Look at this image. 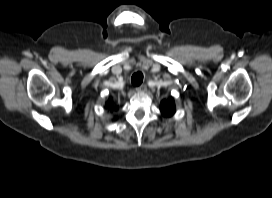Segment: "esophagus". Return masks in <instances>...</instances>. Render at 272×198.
<instances>
[{"instance_id":"obj_1","label":"esophagus","mask_w":272,"mask_h":198,"mask_svg":"<svg viewBox=\"0 0 272 198\" xmlns=\"http://www.w3.org/2000/svg\"><path fill=\"white\" fill-rule=\"evenodd\" d=\"M136 91L138 93H144L146 91V86L145 85H140L139 87L136 88Z\"/></svg>"}]
</instances>
